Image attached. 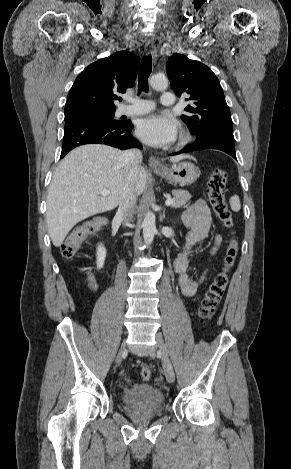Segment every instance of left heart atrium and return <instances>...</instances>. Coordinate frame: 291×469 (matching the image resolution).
<instances>
[{"instance_id":"obj_1","label":"left heart atrium","mask_w":291,"mask_h":469,"mask_svg":"<svg viewBox=\"0 0 291 469\" xmlns=\"http://www.w3.org/2000/svg\"><path fill=\"white\" fill-rule=\"evenodd\" d=\"M177 132V122L160 114H152L141 119L137 126L138 137L152 146H164L173 142Z\"/></svg>"}]
</instances>
